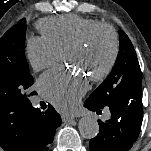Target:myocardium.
Here are the masks:
<instances>
[{
    "instance_id": "obj_1",
    "label": "myocardium",
    "mask_w": 151,
    "mask_h": 151,
    "mask_svg": "<svg viewBox=\"0 0 151 151\" xmlns=\"http://www.w3.org/2000/svg\"><path fill=\"white\" fill-rule=\"evenodd\" d=\"M101 32L107 33L110 37L112 50L110 59L106 66L101 71L90 75V78L93 81H100L105 79L115 66L119 54V41L114 29L106 24H100L91 27L80 39L71 44L66 50V57L69 58L72 54L82 51L84 48H86L91 42L92 38Z\"/></svg>"
}]
</instances>
